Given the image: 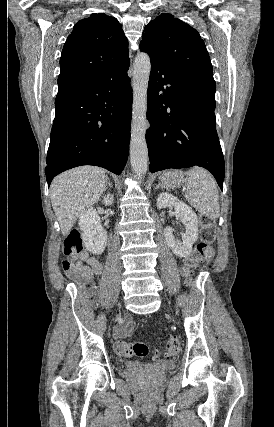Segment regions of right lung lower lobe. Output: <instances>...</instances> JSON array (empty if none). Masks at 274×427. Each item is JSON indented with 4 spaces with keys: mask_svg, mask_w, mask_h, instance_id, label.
<instances>
[{
    "mask_svg": "<svg viewBox=\"0 0 274 427\" xmlns=\"http://www.w3.org/2000/svg\"><path fill=\"white\" fill-rule=\"evenodd\" d=\"M128 69L56 99L46 160L48 187L57 174L81 165L100 166L115 174L124 169L132 113Z\"/></svg>",
    "mask_w": 274,
    "mask_h": 427,
    "instance_id": "1",
    "label": "right lung lower lobe"
}]
</instances>
